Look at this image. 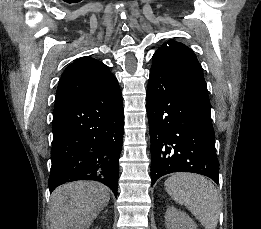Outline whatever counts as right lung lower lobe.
I'll list each match as a JSON object with an SVG mask.
<instances>
[{"instance_id": "1", "label": "right lung lower lobe", "mask_w": 261, "mask_h": 229, "mask_svg": "<svg viewBox=\"0 0 261 229\" xmlns=\"http://www.w3.org/2000/svg\"><path fill=\"white\" fill-rule=\"evenodd\" d=\"M49 189L77 180L108 186L117 197L123 102L115 77L53 118Z\"/></svg>"}]
</instances>
